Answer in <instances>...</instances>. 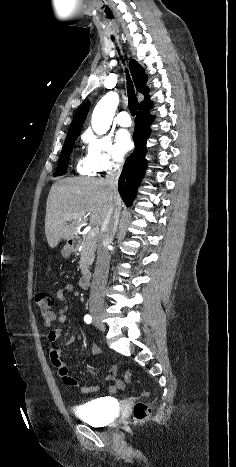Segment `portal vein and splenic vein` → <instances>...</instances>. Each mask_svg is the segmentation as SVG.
<instances>
[{"label":"portal vein and splenic vein","instance_id":"18ae733b","mask_svg":"<svg viewBox=\"0 0 236 467\" xmlns=\"http://www.w3.org/2000/svg\"><path fill=\"white\" fill-rule=\"evenodd\" d=\"M72 218H73L72 215H68V216H67V219H68V220H71ZM98 233H99V228H98V227H93V228L90 229V231H89L88 234H89L90 236L94 237V236H96Z\"/></svg>","mask_w":236,"mask_h":467}]
</instances>
